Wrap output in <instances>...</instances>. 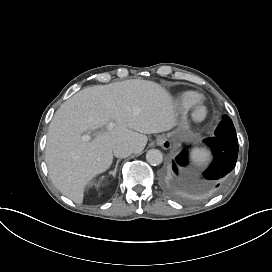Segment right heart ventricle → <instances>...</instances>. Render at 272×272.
<instances>
[{"label": "right heart ventricle", "instance_id": "e07e8e85", "mask_svg": "<svg viewBox=\"0 0 272 272\" xmlns=\"http://www.w3.org/2000/svg\"><path fill=\"white\" fill-rule=\"evenodd\" d=\"M196 96H198V93L196 91H194V90H184V91L179 93L178 101L181 104H184L185 102L195 98Z\"/></svg>", "mask_w": 272, "mask_h": 272}]
</instances>
